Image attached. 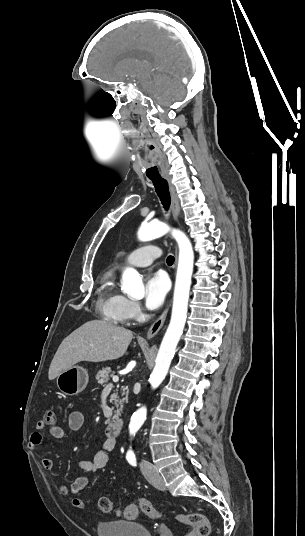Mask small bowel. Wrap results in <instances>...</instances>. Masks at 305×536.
<instances>
[{
  "label": "small bowel",
  "mask_w": 305,
  "mask_h": 536,
  "mask_svg": "<svg viewBox=\"0 0 305 536\" xmlns=\"http://www.w3.org/2000/svg\"><path fill=\"white\" fill-rule=\"evenodd\" d=\"M85 417L81 411H73L68 417V430L77 431L84 425ZM46 427H34V431L30 435V448L33 451H37L43 442V432ZM50 435L59 443L64 442L67 438V430L57 426L50 427ZM115 448V440L104 439L101 445V449L91 459H82L79 461L78 466L80 469L88 472H97L105 468L109 463V453ZM41 465L46 470H52L54 463L50 458H42ZM88 485V478L85 476L75 479L69 486H62L60 488L61 493L64 495L76 494L86 488Z\"/></svg>",
  "instance_id": "c3829d8e"
}]
</instances>
